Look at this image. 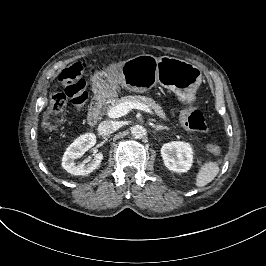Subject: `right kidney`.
Instances as JSON below:
<instances>
[{"label": "right kidney", "mask_w": 266, "mask_h": 266, "mask_svg": "<svg viewBox=\"0 0 266 266\" xmlns=\"http://www.w3.org/2000/svg\"><path fill=\"white\" fill-rule=\"evenodd\" d=\"M96 144V135L94 133H86L76 138L73 143L66 149L64 154H67L74 162L75 175H87L100 165L103 155L98 153L88 162L76 164L75 160L82 157L83 154Z\"/></svg>", "instance_id": "right-kidney-1"}]
</instances>
